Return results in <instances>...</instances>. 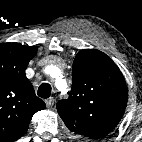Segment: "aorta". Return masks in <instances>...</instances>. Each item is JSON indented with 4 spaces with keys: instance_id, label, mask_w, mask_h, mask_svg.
Returning a JSON list of instances; mask_svg holds the SVG:
<instances>
[{
    "instance_id": "762f6f07",
    "label": "aorta",
    "mask_w": 142,
    "mask_h": 142,
    "mask_svg": "<svg viewBox=\"0 0 142 142\" xmlns=\"http://www.w3.org/2000/svg\"><path fill=\"white\" fill-rule=\"evenodd\" d=\"M55 71L59 72V74L56 76L57 85H59V84H65V81L61 78L60 70L58 68H55ZM63 92H65V91H63Z\"/></svg>"
}]
</instances>
